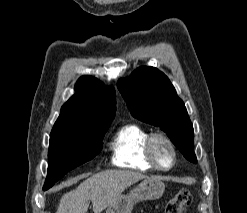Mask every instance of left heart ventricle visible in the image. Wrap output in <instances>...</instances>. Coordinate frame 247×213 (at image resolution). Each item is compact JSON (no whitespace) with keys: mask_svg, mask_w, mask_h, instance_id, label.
I'll return each instance as SVG.
<instances>
[{"mask_svg":"<svg viewBox=\"0 0 247 213\" xmlns=\"http://www.w3.org/2000/svg\"><path fill=\"white\" fill-rule=\"evenodd\" d=\"M155 152L158 160L163 166H169L171 163V151L164 142H157Z\"/></svg>","mask_w":247,"mask_h":213,"instance_id":"1","label":"left heart ventricle"}]
</instances>
